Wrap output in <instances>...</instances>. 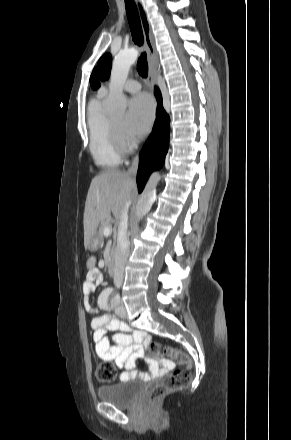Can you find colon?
Instances as JSON below:
<instances>
[{"mask_svg":"<svg viewBox=\"0 0 291 440\" xmlns=\"http://www.w3.org/2000/svg\"><path fill=\"white\" fill-rule=\"evenodd\" d=\"M148 355L169 357L184 367L173 371L163 382L149 390L147 402L153 406L165 395L181 391L189 385L192 380L191 360L186 353L172 347H163L159 342L149 344ZM95 374L100 382H111L116 377V370L111 362H104L96 368Z\"/></svg>","mask_w":291,"mask_h":440,"instance_id":"colon-1","label":"colon"}]
</instances>
